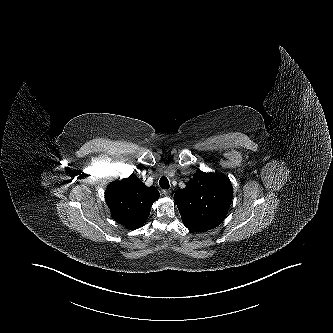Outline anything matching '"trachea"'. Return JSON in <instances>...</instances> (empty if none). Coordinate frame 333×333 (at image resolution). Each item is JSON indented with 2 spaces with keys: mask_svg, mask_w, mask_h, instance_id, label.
I'll list each match as a JSON object with an SVG mask.
<instances>
[{
  "mask_svg": "<svg viewBox=\"0 0 333 333\" xmlns=\"http://www.w3.org/2000/svg\"><path fill=\"white\" fill-rule=\"evenodd\" d=\"M159 185L163 189H169L170 187L169 181L165 176L159 180Z\"/></svg>",
  "mask_w": 333,
  "mask_h": 333,
  "instance_id": "obj_1",
  "label": "trachea"
}]
</instances>
